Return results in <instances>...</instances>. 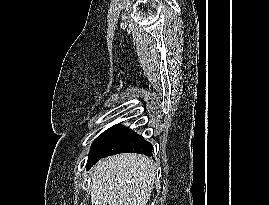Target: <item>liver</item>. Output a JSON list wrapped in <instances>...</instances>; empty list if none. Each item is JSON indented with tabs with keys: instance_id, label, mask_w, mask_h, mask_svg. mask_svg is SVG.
I'll use <instances>...</instances> for the list:
<instances>
[{
	"instance_id": "1",
	"label": "liver",
	"mask_w": 269,
	"mask_h": 205,
	"mask_svg": "<svg viewBox=\"0 0 269 205\" xmlns=\"http://www.w3.org/2000/svg\"><path fill=\"white\" fill-rule=\"evenodd\" d=\"M155 165L140 154H119L100 160L91 173L92 205H146Z\"/></svg>"
}]
</instances>
